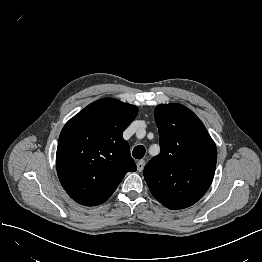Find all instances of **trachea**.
<instances>
[{
	"label": "trachea",
	"mask_w": 262,
	"mask_h": 262,
	"mask_svg": "<svg viewBox=\"0 0 262 262\" xmlns=\"http://www.w3.org/2000/svg\"><path fill=\"white\" fill-rule=\"evenodd\" d=\"M145 147L142 145H138L133 149V157L136 159H142L145 155Z\"/></svg>",
	"instance_id": "3493384b"
}]
</instances>
